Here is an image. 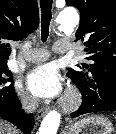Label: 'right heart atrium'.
I'll return each instance as SVG.
<instances>
[{
  "label": "right heart atrium",
  "mask_w": 116,
  "mask_h": 134,
  "mask_svg": "<svg viewBox=\"0 0 116 134\" xmlns=\"http://www.w3.org/2000/svg\"><path fill=\"white\" fill-rule=\"evenodd\" d=\"M15 92L23 108H25L26 110H32L35 108V100L29 95H27L21 86H16Z\"/></svg>",
  "instance_id": "right-heart-atrium-1"
}]
</instances>
